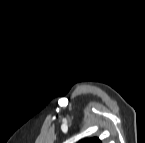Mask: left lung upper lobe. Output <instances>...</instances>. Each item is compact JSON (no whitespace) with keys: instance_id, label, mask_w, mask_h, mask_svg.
Here are the masks:
<instances>
[{"instance_id":"obj_1","label":"left lung upper lobe","mask_w":145,"mask_h":143,"mask_svg":"<svg viewBox=\"0 0 145 143\" xmlns=\"http://www.w3.org/2000/svg\"><path fill=\"white\" fill-rule=\"evenodd\" d=\"M80 143H101V141L98 138H91L81 141Z\"/></svg>"}]
</instances>
